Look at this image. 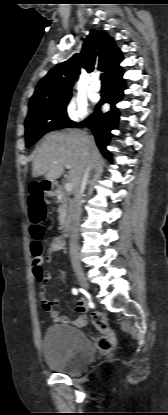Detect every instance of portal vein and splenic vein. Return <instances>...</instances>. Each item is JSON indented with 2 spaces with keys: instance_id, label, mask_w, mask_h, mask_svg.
I'll list each match as a JSON object with an SVG mask.
<instances>
[{
  "instance_id": "obj_1",
  "label": "portal vein and splenic vein",
  "mask_w": 168,
  "mask_h": 415,
  "mask_svg": "<svg viewBox=\"0 0 168 415\" xmlns=\"http://www.w3.org/2000/svg\"><path fill=\"white\" fill-rule=\"evenodd\" d=\"M66 168H67V169H69V168H70V166H69V165H66ZM72 189H73V185H72V183H71V182H67V183L65 184V190H66L67 192H70Z\"/></svg>"
}]
</instances>
